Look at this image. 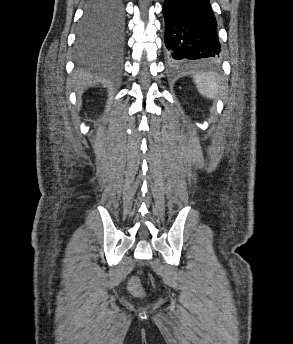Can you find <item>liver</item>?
<instances>
[{
    "instance_id": "obj_1",
    "label": "liver",
    "mask_w": 293,
    "mask_h": 344,
    "mask_svg": "<svg viewBox=\"0 0 293 344\" xmlns=\"http://www.w3.org/2000/svg\"><path fill=\"white\" fill-rule=\"evenodd\" d=\"M97 81H98V80H94V79H92L91 77L86 76V75L80 76V77H79V80H78V82H79L80 85H91L92 83H95V82H97Z\"/></svg>"
}]
</instances>
